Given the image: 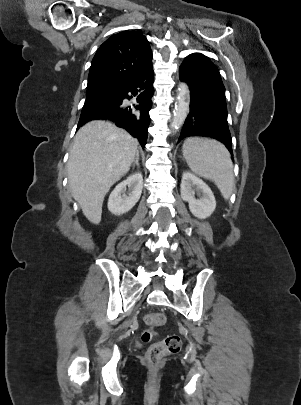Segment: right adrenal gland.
Segmentation results:
<instances>
[{
	"mask_svg": "<svg viewBox=\"0 0 301 405\" xmlns=\"http://www.w3.org/2000/svg\"><path fill=\"white\" fill-rule=\"evenodd\" d=\"M135 166H137L139 168V151L138 150L136 152V156L133 161L132 168H134Z\"/></svg>",
	"mask_w": 301,
	"mask_h": 405,
	"instance_id": "right-adrenal-gland-1",
	"label": "right adrenal gland"
}]
</instances>
